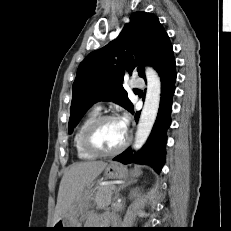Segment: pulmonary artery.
Wrapping results in <instances>:
<instances>
[{
	"mask_svg": "<svg viewBox=\"0 0 231 231\" xmlns=\"http://www.w3.org/2000/svg\"><path fill=\"white\" fill-rule=\"evenodd\" d=\"M132 86L134 88H143L144 87V80L141 79V78H135L133 81H132ZM94 109L97 110V111H100L102 109V105L100 103H97L95 106H94Z\"/></svg>",
	"mask_w": 231,
	"mask_h": 231,
	"instance_id": "pulmonary-artery-1",
	"label": "pulmonary artery"
}]
</instances>
